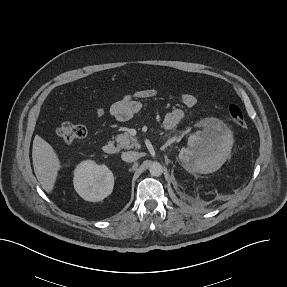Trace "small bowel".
Segmentation results:
<instances>
[{
  "label": "small bowel",
  "instance_id": "obj_1",
  "mask_svg": "<svg viewBox=\"0 0 287 287\" xmlns=\"http://www.w3.org/2000/svg\"><path fill=\"white\" fill-rule=\"evenodd\" d=\"M156 95V90L153 88H144L131 93L124 94L111 107V114L120 121H127L131 119L141 110V100L152 98ZM182 103L186 107H193L197 103L196 96L191 92H184L181 95ZM104 110L99 108L96 112L97 117H102ZM184 111L180 108L170 110L164 120L163 126L166 129H173L176 127L182 118Z\"/></svg>",
  "mask_w": 287,
  "mask_h": 287
}]
</instances>
